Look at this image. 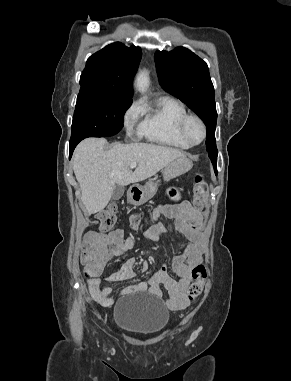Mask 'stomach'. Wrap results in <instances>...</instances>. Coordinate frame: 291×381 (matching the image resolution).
Masks as SVG:
<instances>
[{
    "mask_svg": "<svg viewBox=\"0 0 291 381\" xmlns=\"http://www.w3.org/2000/svg\"><path fill=\"white\" fill-rule=\"evenodd\" d=\"M192 161L181 156L170 162L163 171L164 180H170L178 177L192 168ZM158 190V183L149 181L145 185H134L130 188L127 198L133 205H142L150 200Z\"/></svg>",
    "mask_w": 291,
    "mask_h": 381,
    "instance_id": "0dacf381",
    "label": "stomach"
}]
</instances>
